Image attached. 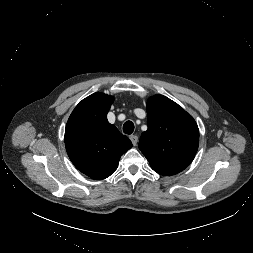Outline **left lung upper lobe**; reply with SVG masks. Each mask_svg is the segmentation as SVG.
Segmentation results:
<instances>
[{
	"label": "left lung upper lobe",
	"instance_id": "left-lung-upper-lobe-1",
	"mask_svg": "<svg viewBox=\"0 0 253 253\" xmlns=\"http://www.w3.org/2000/svg\"><path fill=\"white\" fill-rule=\"evenodd\" d=\"M148 130L139 140V149L151 168L161 175H174L194 159L199 130L193 117L163 95L147 102Z\"/></svg>",
	"mask_w": 253,
	"mask_h": 253
}]
</instances>
